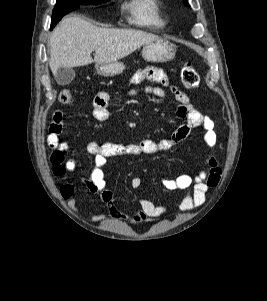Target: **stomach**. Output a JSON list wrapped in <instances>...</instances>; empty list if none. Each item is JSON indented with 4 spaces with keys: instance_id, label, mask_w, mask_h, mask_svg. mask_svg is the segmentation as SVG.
I'll return each mask as SVG.
<instances>
[{
    "instance_id": "stomach-1",
    "label": "stomach",
    "mask_w": 267,
    "mask_h": 301,
    "mask_svg": "<svg viewBox=\"0 0 267 301\" xmlns=\"http://www.w3.org/2000/svg\"><path fill=\"white\" fill-rule=\"evenodd\" d=\"M176 46L167 39L159 38L145 44L142 50L143 58L148 62H168L174 59ZM96 72L104 77H112L121 74L125 65L116 61L112 63L96 64Z\"/></svg>"
}]
</instances>
